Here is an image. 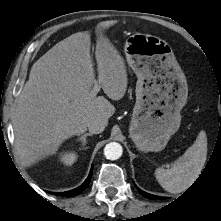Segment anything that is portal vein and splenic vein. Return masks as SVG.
Masks as SVG:
<instances>
[{
    "mask_svg": "<svg viewBox=\"0 0 221 221\" xmlns=\"http://www.w3.org/2000/svg\"><path fill=\"white\" fill-rule=\"evenodd\" d=\"M99 90H100V85H99V83L95 80V81H94V87H93L92 92H91V96H92V97L96 96L97 93L99 92Z\"/></svg>",
    "mask_w": 221,
    "mask_h": 221,
    "instance_id": "obj_1",
    "label": "portal vein and splenic vein"
}]
</instances>
